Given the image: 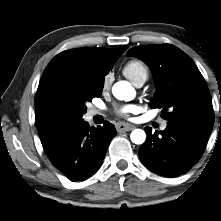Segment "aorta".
Returning a JSON list of instances; mask_svg holds the SVG:
<instances>
[{"instance_id":"1","label":"aorta","mask_w":221,"mask_h":221,"mask_svg":"<svg viewBox=\"0 0 221 221\" xmlns=\"http://www.w3.org/2000/svg\"><path fill=\"white\" fill-rule=\"evenodd\" d=\"M112 93L118 100L130 101L135 97V90L128 81H119L112 87ZM131 141L135 144H143L146 140V133L142 129H135L130 135Z\"/></svg>"}]
</instances>
